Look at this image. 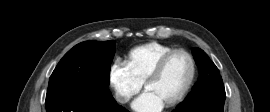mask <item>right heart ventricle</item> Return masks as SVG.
Returning a JSON list of instances; mask_svg holds the SVG:
<instances>
[{"mask_svg":"<svg viewBox=\"0 0 270 112\" xmlns=\"http://www.w3.org/2000/svg\"><path fill=\"white\" fill-rule=\"evenodd\" d=\"M172 49L166 44L149 42L131 49L125 55L124 63L134 78L143 84L157 61Z\"/></svg>","mask_w":270,"mask_h":112,"instance_id":"obj_1","label":"right heart ventricle"}]
</instances>
